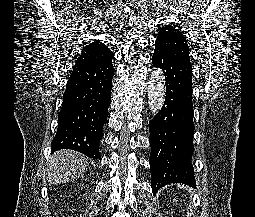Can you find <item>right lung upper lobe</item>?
Returning a JSON list of instances; mask_svg holds the SVG:
<instances>
[{"instance_id":"1","label":"right lung upper lobe","mask_w":255,"mask_h":217,"mask_svg":"<svg viewBox=\"0 0 255 217\" xmlns=\"http://www.w3.org/2000/svg\"><path fill=\"white\" fill-rule=\"evenodd\" d=\"M113 53L110 49L102 42L95 41L86 45L78 59L76 60V65H90L96 63H103L112 59Z\"/></svg>"}]
</instances>
